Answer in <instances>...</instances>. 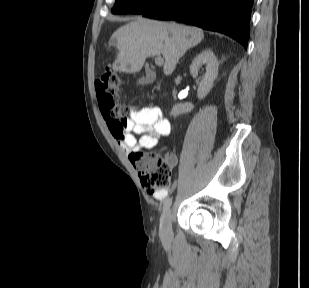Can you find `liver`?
Listing matches in <instances>:
<instances>
[{
  "instance_id": "6515ba94",
  "label": "liver",
  "mask_w": 309,
  "mask_h": 288,
  "mask_svg": "<svg viewBox=\"0 0 309 288\" xmlns=\"http://www.w3.org/2000/svg\"><path fill=\"white\" fill-rule=\"evenodd\" d=\"M204 33L197 27L136 18L117 29L109 42L118 50L112 69L115 72H139L146 58L163 55V72L171 75L179 59L198 45Z\"/></svg>"
}]
</instances>
